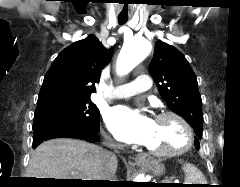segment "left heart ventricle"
Segmentation results:
<instances>
[{
    "label": "left heart ventricle",
    "mask_w": 240,
    "mask_h": 187,
    "mask_svg": "<svg viewBox=\"0 0 240 187\" xmlns=\"http://www.w3.org/2000/svg\"><path fill=\"white\" fill-rule=\"evenodd\" d=\"M184 135L180 126L172 118L156 121V128L151 142L147 145L153 150H167L182 145Z\"/></svg>",
    "instance_id": "left-heart-ventricle-1"
}]
</instances>
